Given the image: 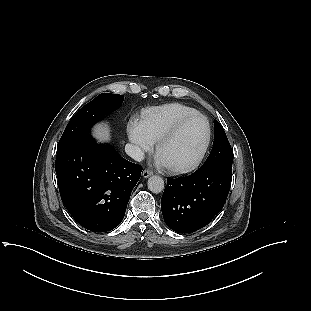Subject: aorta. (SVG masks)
Masks as SVG:
<instances>
[{"mask_svg":"<svg viewBox=\"0 0 311 311\" xmlns=\"http://www.w3.org/2000/svg\"><path fill=\"white\" fill-rule=\"evenodd\" d=\"M148 189L152 193L159 194L164 190V180L162 177L153 175L148 179Z\"/></svg>","mask_w":311,"mask_h":311,"instance_id":"obj_1","label":"aorta"}]
</instances>
